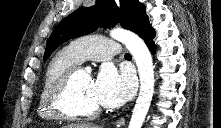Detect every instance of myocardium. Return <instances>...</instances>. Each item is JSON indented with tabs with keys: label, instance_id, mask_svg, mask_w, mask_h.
<instances>
[{
	"label": "myocardium",
	"instance_id": "1",
	"mask_svg": "<svg viewBox=\"0 0 221 128\" xmlns=\"http://www.w3.org/2000/svg\"><path fill=\"white\" fill-rule=\"evenodd\" d=\"M81 69L80 66L69 69L47 93L46 106L53 115L66 120H79L95 118L101 112L100 107L91 111H75L67 104V99L71 93L74 80Z\"/></svg>",
	"mask_w": 221,
	"mask_h": 128
}]
</instances>
